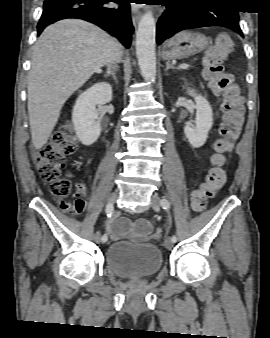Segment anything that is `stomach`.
Wrapping results in <instances>:
<instances>
[{
    "mask_svg": "<svg viewBox=\"0 0 270 338\" xmlns=\"http://www.w3.org/2000/svg\"><path fill=\"white\" fill-rule=\"evenodd\" d=\"M208 45L204 35L182 31L163 44L161 54L165 60L184 59L203 51Z\"/></svg>",
    "mask_w": 270,
    "mask_h": 338,
    "instance_id": "0dacf381",
    "label": "stomach"
}]
</instances>
